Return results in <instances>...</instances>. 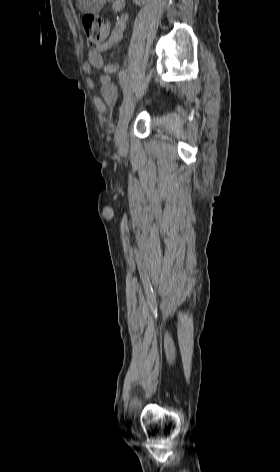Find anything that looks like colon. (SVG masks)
Segmentation results:
<instances>
[{
	"label": "colon",
	"mask_w": 280,
	"mask_h": 472,
	"mask_svg": "<svg viewBox=\"0 0 280 472\" xmlns=\"http://www.w3.org/2000/svg\"><path fill=\"white\" fill-rule=\"evenodd\" d=\"M82 25L87 37L88 46L92 51L102 46L111 31L109 22L92 14H87L83 17Z\"/></svg>",
	"instance_id": "colon-1"
}]
</instances>
